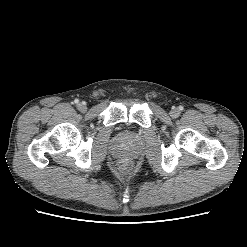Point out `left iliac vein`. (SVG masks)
Returning <instances> with one entry per match:
<instances>
[{
    "label": "left iliac vein",
    "mask_w": 247,
    "mask_h": 247,
    "mask_svg": "<svg viewBox=\"0 0 247 247\" xmlns=\"http://www.w3.org/2000/svg\"><path fill=\"white\" fill-rule=\"evenodd\" d=\"M179 115V110L177 108H174L170 111V116L175 118Z\"/></svg>",
    "instance_id": "1"
}]
</instances>
